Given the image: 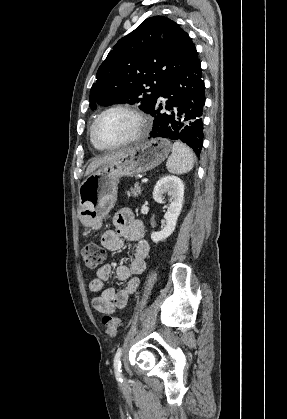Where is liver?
I'll return each instance as SVG.
<instances>
[{
	"label": "liver",
	"instance_id": "1",
	"mask_svg": "<svg viewBox=\"0 0 287 419\" xmlns=\"http://www.w3.org/2000/svg\"><path fill=\"white\" fill-rule=\"evenodd\" d=\"M128 150L130 149H126V150H121V151H117V152H113V153H109L106 155H103L99 158H95L87 167L86 173L85 175H90L93 171H95L97 168L107 164L108 162H111L115 159H117L118 157L122 156L123 154H125Z\"/></svg>",
	"mask_w": 287,
	"mask_h": 419
}]
</instances>
